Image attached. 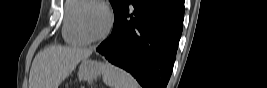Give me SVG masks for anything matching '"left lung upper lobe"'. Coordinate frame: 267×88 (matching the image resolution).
I'll return each mask as SVG.
<instances>
[{
    "mask_svg": "<svg viewBox=\"0 0 267 88\" xmlns=\"http://www.w3.org/2000/svg\"><path fill=\"white\" fill-rule=\"evenodd\" d=\"M114 11V16H117L118 13L120 12L122 6L127 0H109Z\"/></svg>",
    "mask_w": 267,
    "mask_h": 88,
    "instance_id": "left-lung-upper-lobe-1",
    "label": "left lung upper lobe"
}]
</instances>
